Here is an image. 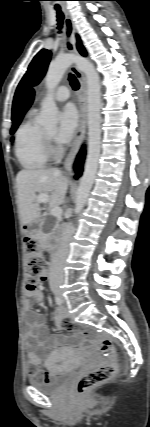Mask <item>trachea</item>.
Masks as SVG:
<instances>
[{"label": "trachea", "mask_w": 150, "mask_h": 427, "mask_svg": "<svg viewBox=\"0 0 150 427\" xmlns=\"http://www.w3.org/2000/svg\"><path fill=\"white\" fill-rule=\"evenodd\" d=\"M55 9L57 11L58 29L61 30L63 26L64 15L59 5H55ZM69 81L74 90H77L79 88V82L73 74L69 75Z\"/></svg>", "instance_id": "1"}]
</instances>
